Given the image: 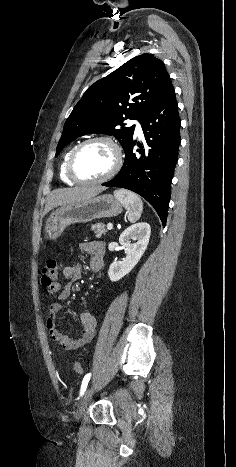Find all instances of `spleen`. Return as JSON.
Segmentation results:
<instances>
[{"label": "spleen", "mask_w": 236, "mask_h": 467, "mask_svg": "<svg viewBox=\"0 0 236 467\" xmlns=\"http://www.w3.org/2000/svg\"><path fill=\"white\" fill-rule=\"evenodd\" d=\"M114 196L127 209L129 222L134 223L141 217L143 202L137 194L129 190L120 189L114 191Z\"/></svg>", "instance_id": "3e777b00"}]
</instances>
